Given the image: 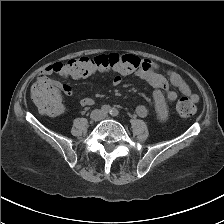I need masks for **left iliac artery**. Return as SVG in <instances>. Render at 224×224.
Returning <instances> with one entry per match:
<instances>
[{
	"label": "left iliac artery",
	"mask_w": 224,
	"mask_h": 224,
	"mask_svg": "<svg viewBox=\"0 0 224 224\" xmlns=\"http://www.w3.org/2000/svg\"><path fill=\"white\" fill-rule=\"evenodd\" d=\"M110 114L115 117L118 116L119 111L116 108H112Z\"/></svg>",
	"instance_id": "obj_1"
}]
</instances>
